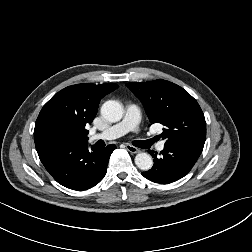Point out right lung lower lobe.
I'll use <instances>...</instances> for the list:
<instances>
[{
    "label": "right lung lower lobe",
    "instance_id": "right-lung-lower-lobe-1",
    "mask_svg": "<svg viewBox=\"0 0 252 252\" xmlns=\"http://www.w3.org/2000/svg\"><path fill=\"white\" fill-rule=\"evenodd\" d=\"M109 145L91 150L87 143L65 140L38 152L46 170L61 185L73 190H86L98 184L106 174L111 153Z\"/></svg>",
    "mask_w": 252,
    "mask_h": 252
}]
</instances>
